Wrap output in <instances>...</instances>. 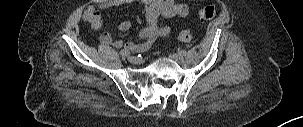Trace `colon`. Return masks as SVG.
I'll list each match as a JSON object with an SVG mask.
<instances>
[{
	"instance_id": "obj_1",
	"label": "colon",
	"mask_w": 303,
	"mask_h": 127,
	"mask_svg": "<svg viewBox=\"0 0 303 127\" xmlns=\"http://www.w3.org/2000/svg\"><path fill=\"white\" fill-rule=\"evenodd\" d=\"M216 15V10L213 6H205L201 8L198 12V18L200 22H207L212 20ZM192 37V34L189 30H183L180 35L179 39L182 41H188ZM161 38L167 40L169 38V31L165 30L162 32Z\"/></svg>"
}]
</instances>
